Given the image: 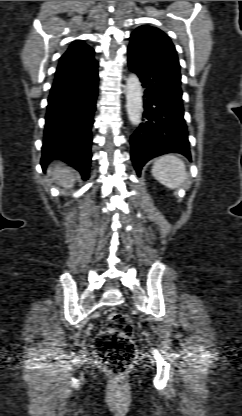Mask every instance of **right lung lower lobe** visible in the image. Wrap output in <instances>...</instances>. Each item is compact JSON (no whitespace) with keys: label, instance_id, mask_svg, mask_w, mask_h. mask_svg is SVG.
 Masks as SVG:
<instances>
[{"label":"right lung lower lobe","instance_id":"1","mask_svg":"<svg viewBox=\"0 0 242 416\" xmlns=\"http://www.w3.org/2000/svg\"><path fill=\"white\" fill-rule=\"evenodd\" d=\"M97 68L85 77L54 81L48 98L41 165L60 159L89 178Z\"/></svg>","mask_w":242,"mask_h":416}]
</instances>
